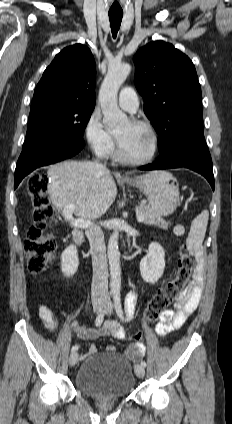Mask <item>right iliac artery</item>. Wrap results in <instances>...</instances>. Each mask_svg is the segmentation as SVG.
<instances>
[{
	"label": "right iliac artery",
	"instance_id": "obj_1",
	"mask_svg": "<svg viewBox=\"0 0 232 424\" xmlns=\"http://www.w3.org/2000/svg\"><path fill=\"white\" fill-rule=\"evenodd\" d=\"M108 299L110 300V296L108 297ZM104 312H105V311L100 312V313L98 314V316L96 317L95 325H96L97 327L101 326V324H102V322H103V320H104ZM78 348H79V346H78V345H74V346L72 347L71 351H72V352H74V351H76Z\"/></svg>",
	"mask_w": 232,
	"mask_h": 424
}]
</instances>
